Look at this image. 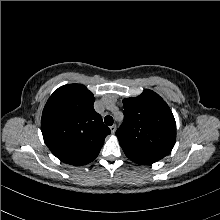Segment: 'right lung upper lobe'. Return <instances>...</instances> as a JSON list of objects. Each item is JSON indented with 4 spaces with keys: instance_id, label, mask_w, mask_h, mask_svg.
<instances>
[{
    "instance_id": "cb5924a9",
    "label": "right lung upper lobe",
    "mask_w": 220,
    "mask_h": 220,
    "mask_svg": "<svg viewBox=\"0 0 220 220\" xmlns=\"http://www.w3.org/2000/svg\"><path fill=\"white\" fill-rule=\"evenodd\" d=\"M93 94L82 84H67L48 99L42 113L41 130L51 152L71 165L93 161L110 129L94 110Z\"/></svg>"
}]
</instances>
